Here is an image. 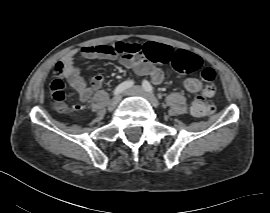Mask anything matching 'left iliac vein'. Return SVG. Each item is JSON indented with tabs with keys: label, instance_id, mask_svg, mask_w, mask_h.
<instances>
[{
	"label": "left iliac vein",
	"instance_id": "obj_1",
	"mask_svg": "<svg viewBox=\"0 0 270 213\" xmlns=\"http://www.w3.org/2000/svg\"><path fill=\"white\" fill-rule=\"evenodd\" d=\"M124 94L125 95H129V96H140V97H143L147 101H149L152 106H154V107H158L159 106L158 100L152 94L146 92L143 88H141L139 86H134L132 88L127 89Z\"/></svg>",
	"mask_w": 270,
	"mask_h": 213
}]
</instances>
